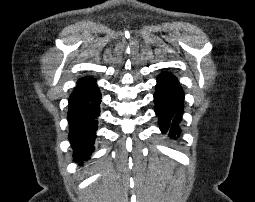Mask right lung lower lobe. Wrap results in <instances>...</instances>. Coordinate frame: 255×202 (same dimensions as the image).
I'll return each mask as SVG.
<instances>
[{"instance_id": "1", "label": "right lung lower lobe", "mask_w": 255, "mask_h": 202, "mask_svg": "<svg viewBox=\"0 0 255 202\" xmlns=\"http://www.w3.org/2000/svg\"><path fill=\"white\" fill-rule=\"evenodd\" d=\"M100 101L101 93L93 79L79 82L69 97L68 138L74 150L73 159L80 165L94 150Z\"/></svg>"}]
</instances>
